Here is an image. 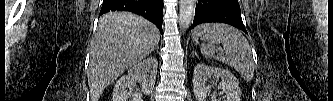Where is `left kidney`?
<instances>
[{
    "mask_svg": "<svg viewBox=\"0 0 333 101\" xmlns=\"http://www.w3.org/2000/svg\"><path fill=\"white\" fill-rule=\"evenodd\" d=\"M208 77L221 79L218 89L225 94V101H240L241 90L237 78L226 69L197 64L193 72V91L198 101H205L210 87L205 84ZM211 101H217L216 92L211 94Z\"/></svg>",
    "mask_w": 333,
    "mask_h": 101,
    "instance_id": "left-kidney-1",
    "label": "left kidney"
}]
</instances>
